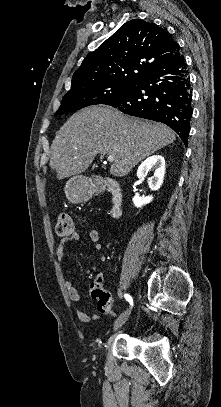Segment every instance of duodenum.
Returning <instances> with one entry per match:
<instances>
[{"instance_id":"410a0bca","label":"duodenum","mask_w":221,"mask_h":407,"mask_svg":"<svg viewBox=\"0 0 221 407\" xmlns=\"http://www.w3.org/2000/svg\"><path fill=\"white\" fill-rule=\"evenodd\" d=\"M90 189L94 193L108 192L110 194V217L113 219L119 218L122 214V189L118 183H92Z\"/></svg>"}]
</instances>
